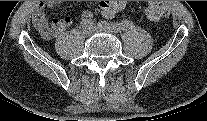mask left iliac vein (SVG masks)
<instances>
[{"instance_id":"obj_1","label":"left iliac vein","mask_w":207,"mask_h":121,"mask_svg":"<svg viewBox=\"0 0 207 121\" xmlns=\"http://www.w3.org/2000/svg\"><path fill=\"white\" fill-rule=\"evenodd\" d=\"M92 28H93V32H105V33H112L111 30L109 29H106V28H102V27H99V26H94L92 24Z\"/></svg>"}]
</instances>
